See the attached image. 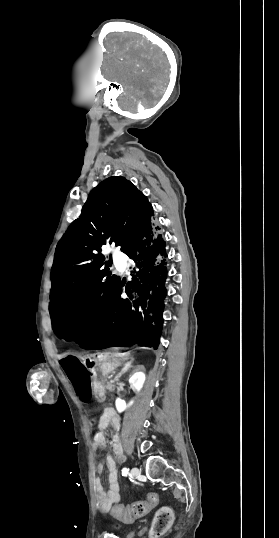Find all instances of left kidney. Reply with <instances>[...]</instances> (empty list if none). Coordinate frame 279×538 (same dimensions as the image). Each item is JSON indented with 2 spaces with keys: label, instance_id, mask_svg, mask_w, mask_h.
I'll return each instance as SVG.
<instances>
[{
  "label": "left kidney",
  "instance_id": "obj_1",
  "mask_svg": "<svg viewBox=\"0 0 279 538\" xmlns=\"http://www.w3.org/2000/svg\"><path fill=\"white\" fill-rule=\"evenodd\" d=\"M144 382H145L144 372H134L131 378H129V384L132 390H137V392H140L141 388H143ZM132 404L133 402H129V404H126V402H124V400H120V398H117L115 402V406L118 412H124V410H126V408H129V406H132Z\"/></svg>",
  "mask_w": 279,
  "mask_h": 538
}]
</instances>
